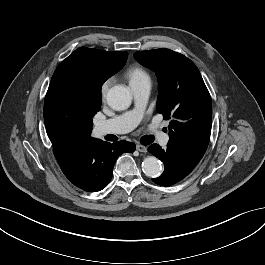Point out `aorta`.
<instances>
[{
	"label": "aorta",
	"mask_w": 265,
	"mask_h": 265,
	"mask_svg": "<svg viewBox=\"0 0 265 265\" xmlns=\"http://www.w3.org/2000/svg\"><path fill=\"white\" fill-rule=\"evenodd\" d=\"M131 101V91L123 85H115L107 93V102L114 110L120 111L127 109ZM142 170L147 177L156 178L162 173V165L156 157L149 156L143 160Z\"/></svg>",
	"instance_id": "1"
}]
</instances>
